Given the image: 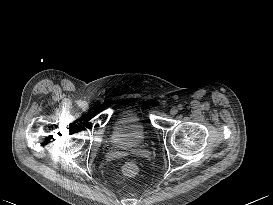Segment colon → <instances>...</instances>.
Masks as SVG:
<instances>
[{"label": "colon", "instance_id": "colon-1", "mask_svg": "<svg viewBox=\"0 0 273 205\" xmlns=\"http://www.w3.org/2000/svg\"><path fill=\"white\" fill-rule=\"evenodd\" d=\"M122 174L125 177H134L137 174V166L134 162H126L122 167Z\"/></svg>", "mask_w": 273, "mask_h": 205}]
</instances>
